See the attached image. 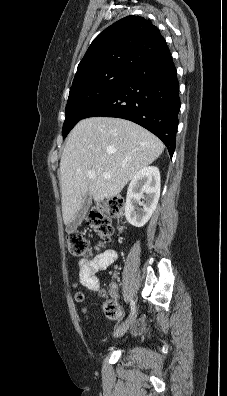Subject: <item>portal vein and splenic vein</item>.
I'll list each match as a JSON object with an SVG mask.
<instances>
[{"label": "portal vein and splenic vein", "instance_id": "1", "mask_svg": "<svg viewBox=\"0 0 227 396\" xmlns=\"http://www.w3.org/2000/svg\"><path fill=\"white\" fill-rule=\"evenodd\" d=\"M87 176H88L89 178H95L96 174H95V172H93V171L90 170V171L87 172ZM103 176H104L105 178H110V174H108V173H106V172L103 173Z\"/></svg>", "mask_w": 227, "mask_h": 396}]
</instances>
